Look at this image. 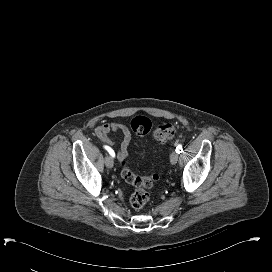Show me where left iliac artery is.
<instances>
[{"label":"left iliac artery","instance_id":"1","mask_svg":"<svg viewBox=\"0 0 272 272\" xmlns=\"http://www.w3.org/2000/svg\"><path fill=\"white\" fill-rule=\"evenodd\" d=\"M182 151H183L182 145L179 144V145L176 147V152H177L178 154H180Z\"/></svg>","mask_w":272,"mask_h":272}]
</instances>
